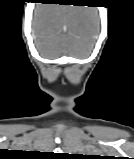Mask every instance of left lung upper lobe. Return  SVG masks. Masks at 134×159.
Instances as JSON below:
<instances>
[{
    "label": "left lung upper lobe",
    "instance_id": "left-lung-upper-lobe-1",
    "mask_svg": "<svg viewBox=\"0 0 134 159\" xmlns=\"http://www.w3.org/2000/svg\"><path fill=\"white\" fill-rule=\"evenodd\" d=\"M82 158H86V159H96V156H94V157L88 156V157H82Z\"/></svg>",
    "mask_w": 134,
    "mask_h": 159
}]
</instances>
